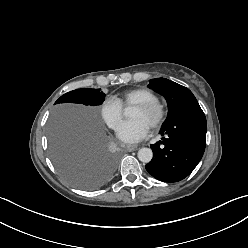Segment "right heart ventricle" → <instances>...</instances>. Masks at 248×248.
Segmentation results:
<instances>
[{"label":"right heart ventricle","mask_w":248,"mask_h":248,"mask_svg":"<svg viewBox=\"0 0 248 248\" xmlns=\"http://www.w3.org/2000/svg\"><path fill=\"white\" fill-rule=\"evenodd\" d=\"M156 98L155 93L144 87L129 89L120 95L114 96V99L121 107L135 105L137 103Z\"/></svg>","instance_id":"1"}]
</instances>
